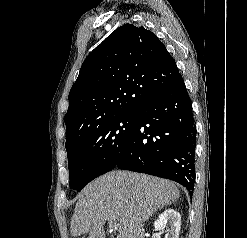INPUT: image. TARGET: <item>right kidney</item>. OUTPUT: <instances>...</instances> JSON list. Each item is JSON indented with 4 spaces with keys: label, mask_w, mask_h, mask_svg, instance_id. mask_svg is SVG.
Segmentation results:
<instances>
[{
    "label": "right kidney",
    "mask_w": 247,
    "mask_h": 238,
    "mask_svg": "<svg viewBox=\"0 0 247 238\" xmlns=\"http://www.w3.org/2000/svg\"><path fill=\"white\" fill-rule=\"evenodd\" d=\"M167 223L170 228L167 230L165 238H178L181 226L180 214L174 209H166L154 222V228L156 231H163Z\"/></svg>",
    "instance_id": "ca27d5eb"
}]
</instances>
